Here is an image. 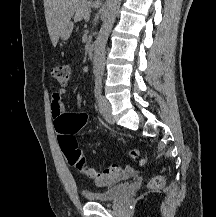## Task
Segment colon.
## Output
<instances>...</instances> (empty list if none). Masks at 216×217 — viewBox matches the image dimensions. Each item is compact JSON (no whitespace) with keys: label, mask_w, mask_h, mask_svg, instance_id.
<instances>
[{"label":"colon","mask_w":216,"mask_h":217,"mask_svg":"<svg viewBox=\"0 0 216 217\" xmlns=\"http://www.w3.org/2000/svg\"><path fill=\"white\" fill-rule=\"evenodd\" d=\"M51 75L59 84L66 85L70 78V68L67 64H56L51 68ZM87 122L88 115L84 112L64 114L56 124L59 146L70 166L93 178L100 186L111 185L123 174L122 169L117 165H112L100 171L89 167L75 138V134ZM130 155L133 159L140 158V163L143 165L147 163V159L141 158L139 151L136 149L131 150ZM163 182L162 176H155L150 180L149 186L159 188L163 185Z\"/></svg>","instance_id":"colon-1"}]
</instances>
